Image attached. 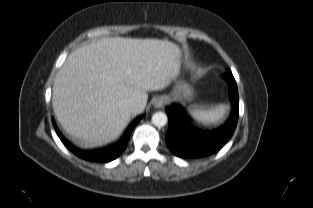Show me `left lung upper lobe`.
<instances>
[{
	"label": "left lung upper lobe",
	"mask_w": 313,
	"mask_h": 208,
	"mask_svg": "<svg viewBox=\"0 0 313 208\" xmlns=\"http://www.w3.org/2000/svg\"><path fill=\"white\" fill-rule=\"evenodd\" d=\"M228 76L230 77V79H234V77H233L231 71H228Z\"/></svg>",
	"instance_id": "obj_1"
}]
</instances>
